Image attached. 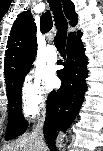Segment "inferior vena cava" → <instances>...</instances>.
<instances>
[{"instance_id":"obj_1","label":"inferior vena cava","mask_w":103,"mask_h":151,"mask_svg":"<svg viewBox=\"0 0 103 151\" xmlns=\"http://www.w3.org/2000/svg\"><path fill=\"white\" fill-rule=\"evenodd\" d=\"M41 115H42V117H39V119H38L37 131H35V132H37L39 134H41L40 130L42 129L43 123H44V112H42Z\"/></svg>"}]
</instances>
